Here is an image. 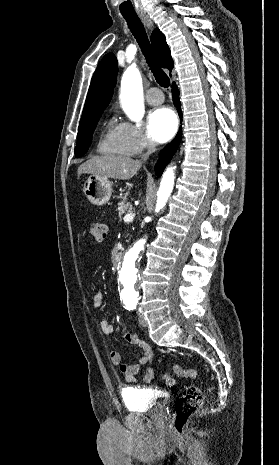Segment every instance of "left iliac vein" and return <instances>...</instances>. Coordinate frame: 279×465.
Segmentation results:
<instances>
[{
    "label": "left iliac vein",
    "instance_id": "obj_1",
    "mask_svg": "<svg viewBox=\"0 0 279 465\" xmlns=\"http://www.w3.org/2000/svg\"><path fill=\"white\" fill-rule=\"evenodd\" d=\"M139 323L141 326L146 327L148 325L145 316L142 313H138Z\"/></svg>",
    "mask_w": 279,
    "mask_h": 465
}]
</instances>
